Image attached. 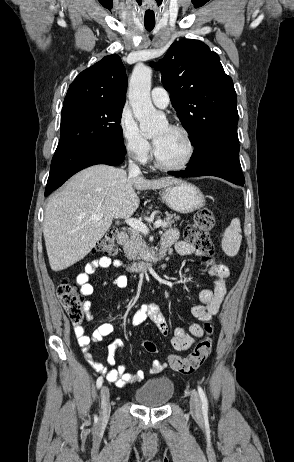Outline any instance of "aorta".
Returning <instances> with one entry per match:
<instances>
[{"label": "aorta", "instance_id": "1", "mask_svg": "<svg viewBox=\"0 0 294 462\" xmlns=\"http://www.w3.org/2000/svg\"><path fill=\"white\" fill-rule=\"evenodd\" d=\"M151 77L150 67L136 65L129 83V101L144 134L153 133L162 124V119L153 107L150 98Z\"/></svg>", "mask_w": 294, "mask_h": 462}]
</instances>
